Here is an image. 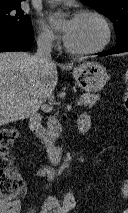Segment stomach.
Listing matches in <instances>:
<instances>
[{
	"label": "stomach",
	"instance_id": "obj_1",
	"mask_svg": "<svg viewBox=\"0 0 128 213\" xmlns=\"http://www.w3.org/2000/svg\"><path fill=\"white\" fill-rule=\"evenodd\" d=\"M73 76L77 85L87 92L101 90L108 80L106 68L97 62H84L80 64L74 68Z\"/></svg>",
	"mask_w": 128,
	"mask_h": 213
}]
</instances>
